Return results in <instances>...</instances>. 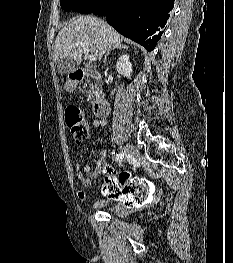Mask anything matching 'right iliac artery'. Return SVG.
Instances as JSON below:
<instances>
[{
	"label": "right iliac artery",
	"mask_w": 233,
	"mask_h": 263,
	"mask_svg": "<svg viewBox=\"0 0 233 263\" xmlns=\"http://www.w3.org/2000/svg\"><path fill=\"white\" fill-rule=\"evenodd\" d=\"M124 157H125V153H123V152L117 153L115 156L116 160L119 162H122Z\"/></svg>",
	"instance_id": "obj_1"
}]
</instances>
